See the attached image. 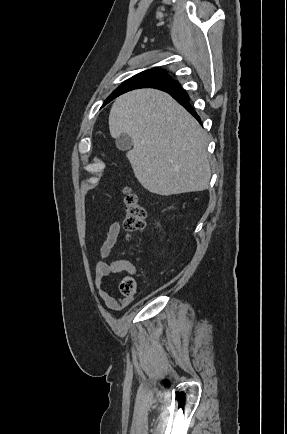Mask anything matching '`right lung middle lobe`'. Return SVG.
I'll use <instances>...</instances> for the list:
<instances>
[{
  "label": "right lung middle lobe",
  "instance_id": "1",
  "mask_svg": "<svg viewBox=\"0 0 287 434\" xmlns=\"http://www.w3.org/2000/svg\"><path fill=\"white\" fill-rule=\"evenodd\" d=\"M171 80V78L162 70H147L141 72L132 78L121 84L107 99L104 103H108L117 96L123 94L127 89L133 87H147L153 84L164 83Z\"/></svg>",
  "mask_w": 287,
  "mask_h": 434
}]
</instances>
